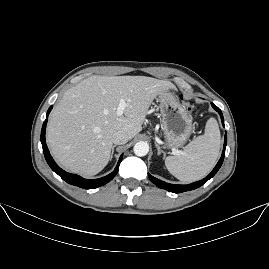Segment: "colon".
I'll return each mask as SVG.
<instances>
[{"mask_svg": "<svg viewBox=\"0 0 269 269\" xmlns=\"http://www.w3.org/2000/svg\"><path fill=\"white\" fill-rule=\"evenodd\" d=\"M187 109L188 110H193V106L192 105H187Z\"/></svg>", "mask_w": 269, "mask_h": 269, "instance_id": "obj_1", "label": "colon"}]
</instances>
